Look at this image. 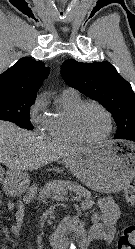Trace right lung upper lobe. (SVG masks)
I'll return each instance as SVG.
<instances>
[{
    "label": "right lung upper lobe",
    "instance_id": "right-lung-upper-lobe-1",
    "mask_svg": "<svg viewBox=\"0 0 135 249\" xmlns=\"http://www.w3.org/2000/svg\"><path fill=\"white\" fill-rule=\"evenodd\" d=\"M49 67L32 58H21L0 75V94L36 97L41 83L48 76Z\"/></svg>",
    "mask_w": 135,
    "mask_h": 249
}]
</instances>
